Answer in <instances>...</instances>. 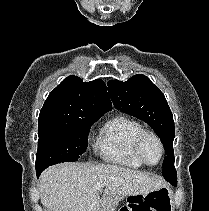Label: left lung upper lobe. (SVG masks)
Returning a JSON list of instances; mask_svg holds the SVG:
<instances>
[{
  "instance_id": "1",
  "label": "left lung upper lobe",
  "mask_w": 209,
  "mask_h": 211,
  "mask_svg": "<svg viewBox=\"0 0 209 211\" xmlns=\"http://www.w3.org/2000/svg\"><path fill=\"white\" fill-rule=\"evenodd\" d=\"M108 93L114 106L148 123L160 137L167 156L163 162V176L177 175L174 168V122L164 94L142 74L126 82L110 80Z\"/></svg>"
}]
</instances>
